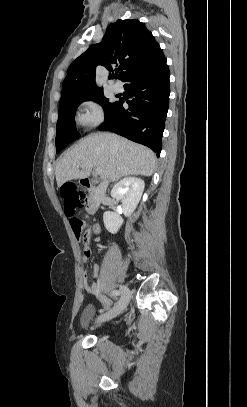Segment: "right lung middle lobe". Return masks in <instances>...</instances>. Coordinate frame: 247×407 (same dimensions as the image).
<instances>
[{
    "instance_id": "dd1d6c3e",
    "label": "right lung middle lobe",
    "mask_w": 247,
    "mask_h": 407,
    "mask_svg": "<svg viewBox=\"0 0 247 407\" xmlns=\"http://www.w3.org/2000/svg\"><path fill=\"white\" fill-rule=\"evenodd\" d=\"M88 100H94L95 102L102 105L105 118L113 110L117 102L110 103L103 95V91L93 94L91 96L72 100L59 105V117L57 121V132H56V152L59 153L68 144L78 139L79 135L75 131L74 116L77 107L80 103Z\"/></svg>"
}]
</instances>
